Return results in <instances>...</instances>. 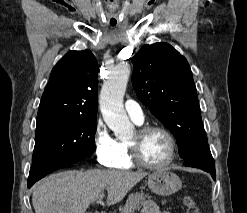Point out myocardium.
<instances>
[{"instance_id": "f54148a6", "label": "myocardium", "mask_w": 247, "mask_h": 213, "mask_svg": "<svg viewBox=\"0 0 247 213\" xmlns=\"http://www.w3.org/2000/svg\"><path fill=\"white\" fill-rule=\"evenodd\" d=\"M151 131H159L161 133H163L169 143V154L167 159L160 163V164H151L149 162H146L140 155L139 153V148H138V139L143 137L144 135H146L147 133L151 132ZM136 136L137 139L130 142H127V148H128V152H129V156L131 161L136 164L137 166H140L142 168H146V169H150V170H161V169H165L168 166H170L172 164V162L174 161L175 157H176V153H177V142L175 137L173 136V134L164 126L161 125H144L141 126L137 129L136 131Z\"/></svg>"}]
</instances>
